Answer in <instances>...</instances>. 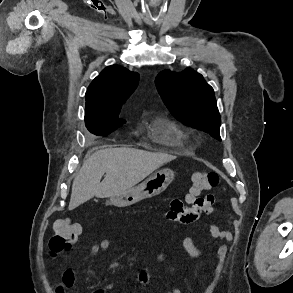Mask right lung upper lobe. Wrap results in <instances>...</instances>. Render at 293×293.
Returning a JSON list of instances; mask_svg holds the SVG:
<instances>
[{
	"label": "right lung upper lobe",
	"mask_w": 293,
	"mask_h": 293,
	"mask_svg": "<svg viewBox=\"0 0 293 293\" xmlns=\"http://www.w3.org/2000/svg\"><path fill=\"white\" fill-rule=\"evenodd\" d=\"M139 74L112 65L97 76L86 92L85 117L120 112L122 104L135 90Z\"/></svg>",
	"instance_id": "obj_1"
}]
</instances>
